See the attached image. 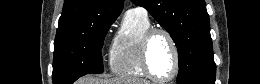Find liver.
<instances>
[{
    "mask_svg": "<svg viewBox=\"0 0 260 84\" xmlns=\"http://www.w3.org/2000/svg\"><path fill=\"white\" fill-rule=\"evenodd\" d=\"M78 84H150V82L142 79H136V78L100 79V78L93 77L92 75H88L82 77L78 81Z\"/></svg>",
    "mask_w": 260,
    "mask_h": 84,
    "instance_id": "obj_1",
    "label": "liver"
}]
</instances>
